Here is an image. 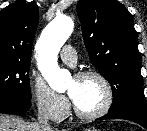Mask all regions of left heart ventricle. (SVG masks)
<instances>
[{
  "mask_svg": "<svg viewBox=\"0 0 147 131\" xmlns=\"http://www.w3.org/2000/svg\"><path fill=\"white\" fill-rule=\"evenodd\" d=\"M67 91L77 108L82 112H93L103 103L104 91L100 82L94 78L72 79Z\"/></svg>",
  "mask_w": 147,
  "mask_h": 131,
  "instance_id": "left-heart-ventricle-1",
  "label": "left heart ventricle"
}]
</instances>
